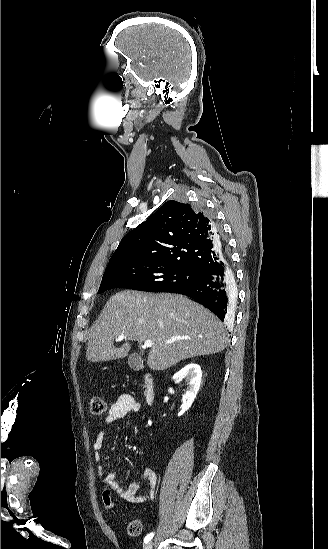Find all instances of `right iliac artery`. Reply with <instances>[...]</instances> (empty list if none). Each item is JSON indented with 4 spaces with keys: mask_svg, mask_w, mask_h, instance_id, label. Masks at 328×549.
Here are the masks:
<instances>
[{
    "mask_svg": "<svg viewBox=\"0 0 328 549\" xmlns=\"http://www.w3.org/2000/svg\"><path fill=\"white\" fill-rule=\"evenodd\" d=\"M153 536H154V533H153V532L150 533V534H148V535L144 538V543L149 542V541L153 538Z\"/></svg>",
    "mask_w": 328,
    "mask_h": 549,
    "instance_id": "right-iliac-artery-1",
    "label": "right iliac artery"
}]
</instances>
